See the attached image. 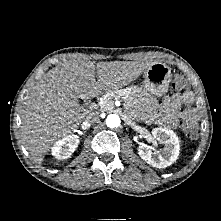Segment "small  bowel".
<instances>
[{"label": "small bowel", "mask_w": 221, "mask_h": 221, "mask_svg": "<svg viewBox=\"0 0 221 221\" xmlns=\"http://www.w3.org/2000/svg\"><path fill=\"white\" fill-rule=\"evenodd\" d=\"M193 100L194 96L190 91H186L182 95L174 94L167 98L159 117L160 124L168 127H176L180 119H196L198 115L194 108H185L182 110V106L192 104Z\"/></svg>", "instance_id": "obj_1"}]
</instances>
